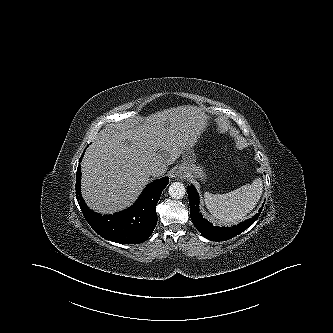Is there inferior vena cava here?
<instances>
[{"label":"inferior vena cava","instance_id":"1","mask_svg":"<svg viewBox=\"0 0 333 333\" xmlns=\"http://www.w3.org/2000/svg\"><path fill=\"white\" fill-rule=\"evenodd\" d=\"M149 174L157 177V176H161L163 174L162 170L160 168H158L157 166H153L149 169Z\"/></svg>","mask_w":333,"mask_h":333}]
</instances>
